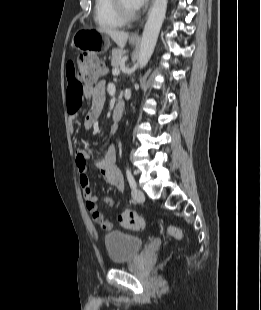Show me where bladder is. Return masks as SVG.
<instances>
[{"label": "bladder", "instance_id": "31cf9c89", "mask_svg": "<svg viewBox=\"0 0 261 310\" xmlns=\"http://www.w3.org/2000/svg\"><path fill=\"white\" fill-rule=\"evenodd\" d=\"M105 248L113 264H122L135 258L143 249L142 237L122 231H112L104 237Z\"/></svg>", "mask_w": 261, "mask_h": 310}]
</instances>
